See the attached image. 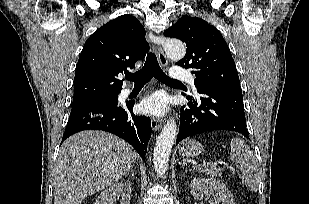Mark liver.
I'll list each match as a JSON object with an SVG mask.
<instances>
[{"instance_id":"liver-1","label":"liver","mask_w":309,"mask_h":204,"mask_svg":"<svg viewBox=\"0 0 309 204\" xmlns=\"http://www.w3.org/2000/svg\"><path fill=\"white\" fill-rule=\"evenodd\" d=\"M136 157L131 145L107 132L87 130L69 137L54 166V204H80L117 182Z\"/></svg>"}]
</instances>
